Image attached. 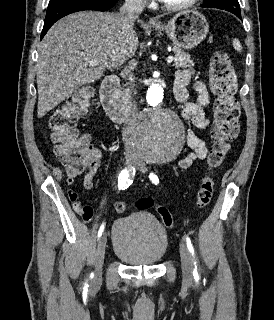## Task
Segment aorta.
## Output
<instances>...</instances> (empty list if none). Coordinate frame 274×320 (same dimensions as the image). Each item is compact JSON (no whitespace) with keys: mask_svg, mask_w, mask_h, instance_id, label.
<instances>
[{"mask_svg":"<svg viewBox=\"0 0 274 320\" xmlns=\"http://www.w3.org/2000/svg\"><path fill=\"white\" fill-rule=\"evenodd\" d=\"M146 99L147 108L133 123L134 143L146 160H170L182 147L183 124L177 114L167 107L160 84L150 85Z\"/></svg>","mask_w":274,"mask_h":320,"instance_id":"obj_1","label":"aorta"}]
</instances>
